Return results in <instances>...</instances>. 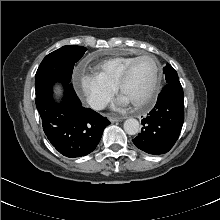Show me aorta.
Segmentation results:
<instances>
[{"instance_id": "obj_1", "label": "aorta", "mask_w": 220, "mask_h": 220, "mask_svg": "<svg viewBox=\"0 0 220 220\" xmlns=\"http://www.w3.org/2000/svg\"><path fill=\"white\" fill-rule=\"evenodd\" d=\"M124 130L129 135H135L140 130V125L137 119L129 118L124 122Z\"/></svg>"}]
</instances>
